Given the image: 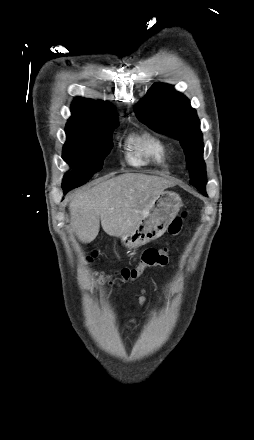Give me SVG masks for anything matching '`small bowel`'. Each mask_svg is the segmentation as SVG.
Segmentation results:
<instances>
[{"label": "small bowel", "mask_w": 254, "mask_h": 440, "mask_svg": "<svg viewBox=\"0 0 254 440\" xmlns=\"http://www.w3.org/2000/svg\"><path fill=\"white\" fill-rule=\"evenodd\" d=\"M145 302H146V290L142 289L141 295L139 297L138 306L141 307L142 305H144Z\"/></svg>", "instance_id": "small-bowel-1"}]
</instances>
